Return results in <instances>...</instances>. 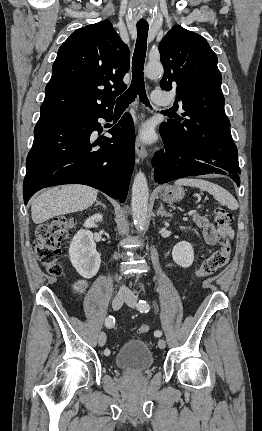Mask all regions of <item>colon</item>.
<instances>
[{
	"instance_id": "colon-1",
	"label": "colon",
	"mask_w": 262,
	"mask_h": 431,
	"mask_svg": "<svg viewBox=\"0 0 262 431\" xmlns=\"http://www.w3.org/2000/svg\"><path fill=\"white\" fill-rule=\"evenodd\" d=\"M233 222L230 212L222 208L214 211V224L218 227H227ZM74 227V220L70 217H56L49 223L40 225L36 231L35 247L37 257L42 266L52 276H59L63 272L61 265V243L66 238L69 231ZM231 247L228 239L223 236L220 246L209 257L203 260L195 272L196 278H205L213 275L229 262ZM76 289L81 291L83 285L78 283ZM150 327L147 324L139 328V333L145 334Z\"/></svg>"
}]
</instances>
